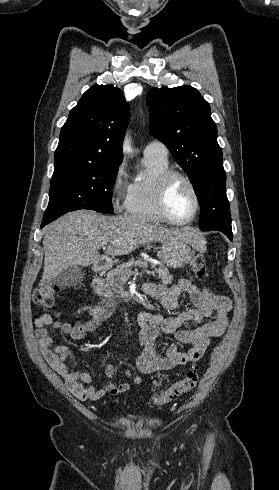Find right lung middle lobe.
I'll use <instances>...</instances> for the list:
<instances>
[{
  "instance_id": "1",
  "label": "right lung middle lobe",
  "mask_w": 279,
  "mask_h": 490,
  "mask_svg": "<svg viewBox=\"0 0 279 490\" xmlns=\"http://www.w3.org/2000/svg\"><path fill=\"white\" fill-rule=\"evenodd\" d=\"M122 163H71L54 167L49 204L43 221L50 223L78 209L113 214L112 192Z\"/></svg>"
}]
</instances>
